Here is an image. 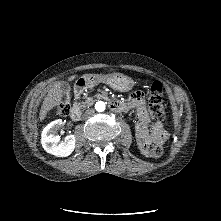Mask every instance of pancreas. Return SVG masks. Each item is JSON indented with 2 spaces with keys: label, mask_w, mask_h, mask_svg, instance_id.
<instances>
[{
  "label": "pancreas",
  "mask_w": 221,
  "mask_h": 221,
  "mask_svg": "<svg viewBox=\"0 0 221 221\" xmlns=\"http://www.w3.org/2000/svg\"><path fill=\"white\" fill-rule=\"evenodd\" d=\"M94 102L93 98L87 97L86 100L84 102H82V106L83 107H88L91 106Z\"/></svg>",
  "instance_id": "pancreas-1"
}]
</instances>
